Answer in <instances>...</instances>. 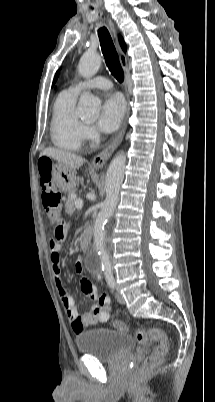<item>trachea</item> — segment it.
<instances>
[{"label":"trachea","mask_w":215,"mask_h":402,"mask_svg":"<svg viewBox=\"0 0 215 402\" xmlns=\"http://www.w3.org/2000/svg\"><path fill=\"white\" fill-rule=\"evenodd\" d=\"M100 45L102 53L106 59V65L109 68L111 74L119 81L123 82L124 73L119 62V57L113 44L112 38L106 27H102L98 30Z\"/></svg>","instance_id":"1"}]
</instances>
